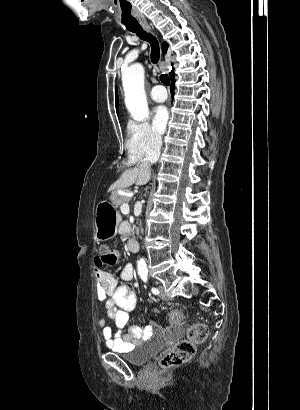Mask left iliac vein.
Segmentation results:
<instances>
[{
    "mask_svg": "<svg viewBox=\"0 0 300 410\" xmlns=\"http://www.w3.org/2000/svg\"><path fill=\"white\" fill-rule=\"evenodd\" d=\"M159 291H160V297L162 300H169V296L165 293L164 291V287L163 286H159Z\"/></svg>",
    "mask_w": 300,
    "mask_h": 410,
    "instance_id": "left-iliac-vein-1",
    "label": "left iliac vein"
}]
</instances>
